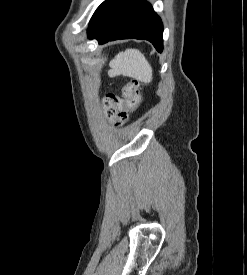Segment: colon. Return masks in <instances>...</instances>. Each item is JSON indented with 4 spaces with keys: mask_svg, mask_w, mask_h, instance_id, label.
Returning <instances> with one entry per match:
<instances>
[{
    "mask_svg": "<svg viewBox=\"0 0 247 275\" xmlns=\"http://www.w3.org/2000/svg\"><path fill=\"white\" fill-rule=\"evenodd\" d=\"M140 103V85L137 81H131L123 87L122 97L109 94L104 99V107L107 120L114 126L127 123L129 116Z\"/></svg>",
    "mask_w": 247,
    "mask_h": 275,
    "instance_id": "colon-1",
    "label": "colon"
}]
</instances>
